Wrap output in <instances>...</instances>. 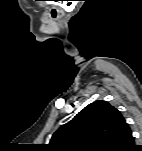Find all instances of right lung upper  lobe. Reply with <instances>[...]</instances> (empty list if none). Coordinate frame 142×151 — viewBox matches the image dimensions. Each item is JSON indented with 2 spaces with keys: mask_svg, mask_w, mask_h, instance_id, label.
Returning a JSON list of instances; mask_svg holds the SVG:
<instances>
[{
  "mask_svg": "<svg viewBox=\"0 0 142 151\" xmlns=\"http://www.w3.org/2000/svg\"><path fill=\"white\" fill-rule=\"evenodd\" d=\"M132 145L134 138L121 112L106 101H95L60 127L48 147L53 151H130Z\"/></svg>",
  "mask_w": 142,
  "mask_h": 151,
  "instance_id": "1",
  "label": "right lung upper lobe"
}]
</instances>
